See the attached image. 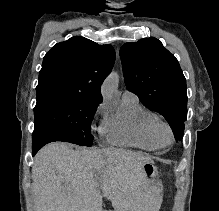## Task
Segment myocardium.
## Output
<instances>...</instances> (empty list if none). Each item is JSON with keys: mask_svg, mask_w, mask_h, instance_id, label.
Segmentation results:
<instances>
[{"mask_svg": "<svg viewBox=\"0 0 219 211\" xmlns=\"http://www.w3.org/2000/svg\"><path fill=\"white\" fill-rule=\"evenodd\" d=\"M150 128L153 137L159 145L167 146L173 142L174 135L168 122L159 118L151 123ZM164 134H166V138L164 137Z\"/></svg>", "mask_w": 219, "mask_h": 211, "instance_id": "obj_1", "label": "myocardium"}]
</instances>
